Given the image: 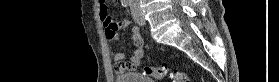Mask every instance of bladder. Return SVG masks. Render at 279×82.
I'll return each mask as SVG.
<instances>
[{"label": "bladder", "instance_id": "31cf9c89", "mask_svg": "<svg viewBox=\"0 0 279 82\" xmlns=\"http://www.w3.org/2000/svg\"><path fill=\"white\" fill-rule=\"evenodd\" d=\"M115 81L116 82H154L148 79L144 74L136 73V72L118 74L115 77Z\"/></svg>", "mask_w": 279, "mask_h": 82}]
</instances>
